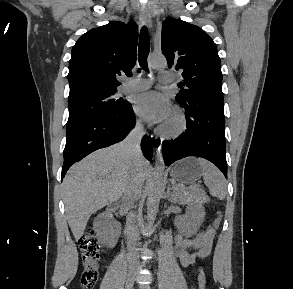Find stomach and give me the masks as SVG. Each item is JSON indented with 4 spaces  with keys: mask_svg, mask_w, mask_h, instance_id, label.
Wrapping results in <instances>:
<instances>
[{
    "mask_svg": "<svg viewBox=\"0 0 293 289\" xmlns=\"http://www.w3.org/2000/svg\"><path fill=\"white\" fill-rule=\"evenodd\" d=\"M173 180L181 184H193L203 175V170L197 158L188 157L176 162L171 168Z\"/></svg>",
    "mask_w": 293,
    "mask_h": 289,
    "instance_id": "1",
    "label": "stomach"
}]
</instances>
